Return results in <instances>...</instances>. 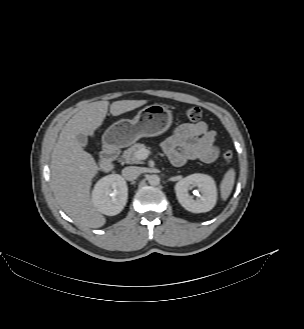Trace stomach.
Here are the masks:
<instances>
[{"instance_id": "obj_1", "label": "stomach", "mask_w": 304, "mask_h": 329, "mask_svg": "<svg viewBox=\"0 0 304 329\" xmlns=\"http://www.w3.org/2000/svg\"><path fill=\"white\" fill-rule=\"evenodd\" d=\"M171 111L163 105L153 104L141 109L132 119H121L112 124L103 134L107 148H121L135 143L142 137L164 133L172 124Z\"/></svg>"}]
</instances>
